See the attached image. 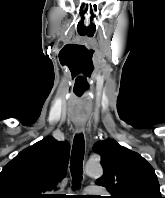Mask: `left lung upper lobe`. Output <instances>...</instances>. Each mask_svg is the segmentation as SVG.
I'll return each mask as SVG.
<instances>
[{
  "label": "left lung upper lobe",
  "instance_id": "left-lung-upper-lobe-1",
  "mask_svg": "<svg viewBox=\"0 0 165 198\" xmlns=\"http://www.w3.org/2000/svg\"><path fill=\"white\" fill-rule=\"evenodd\" d=\"M93 149L104 170L96 184L106 187L110 198H162L155 171L141 155L115 140L98 141Z\"/></svg>",
  "mask_w": 165,
  "mask_h": 198
}]
</instances>
